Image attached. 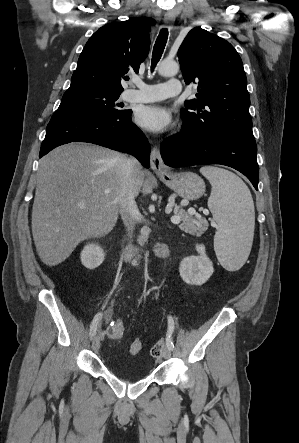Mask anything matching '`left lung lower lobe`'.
Segmentation results:
<instances>
[{
  "label": "left lung lower lobe",
  "mask_w": 299,
  "mask_h": 443,
  "mask_svg": "<svg viewBox=\"0 0 299 443\" xmlns=\"http://www.w3.org/2000/svg\"><path fill=\"white\" fill-rule=\"evenodd\" d=\"M161 156L170 167L221 164L244 174L258 190L257 146L253 134L204 135L186 129L164 140Z\"/></svg>",
  "instance_id": "1"
}]
</instances>
